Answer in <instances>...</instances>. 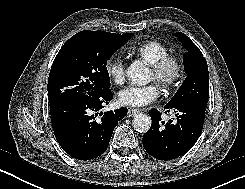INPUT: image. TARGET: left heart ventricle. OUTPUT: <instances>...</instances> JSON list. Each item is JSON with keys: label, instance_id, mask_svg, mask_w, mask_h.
<instances>
[{"label": "left heart ventricle", "instance_id": "1", "mask_svg": "<svg viewBox=\"0 0 245 189\" xmlns=\"http://www.w3.org/2000/svg\"><path fill=\"white\" fill-rule=\"evenodd\" d=\"M149 78H150L151 80L154 79V77H153V75H152V73H151V70H150V72H149Z\"/></svg>", "mask_w": 245, "mask_h": 189}]
</instances>
